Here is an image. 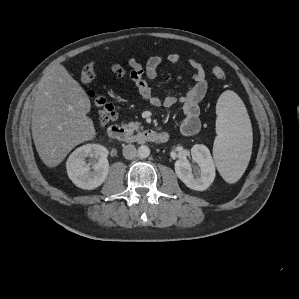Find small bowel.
Masks as SVG:
<instances>
[{
	"mask_svg": "<svg viewBox=\"0 0 299 299\" xmlns=\"http://www.w3.org/2000/svg\"><path fill=\"white\" fill-rule=\"evenodd\" d=\"M162 61L161 56L153 55L148 58L143 66L137 58L131 57L128 61L129 71L117 63H114L111 69L119 78H130L134 82L140 96L152 106L172 108L176 104H180L183 114L181 131L184 135H194L200 129L199 104L205 97L208 89L205 69L197 60L189 59L187 63L193 69L192 79L194 83L189 87L187 93L179 98L174 96L161 98L153 94L148 80L156 78ZM167 61L173 64H180L183 62V57L179 53L172 52L168 54Z\"/></svg>",
	"mask_w": 299,
	"mask_h": 299,
	"instance_id": "1",
	"label": "small bowel"
}]
</instances>
